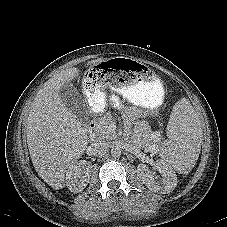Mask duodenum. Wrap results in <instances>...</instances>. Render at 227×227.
<instances>
[{"label":"duodenum","instance_id":"410a0bca","mask_svg":"<svg viewBox=\"0 0 227 227\" xmlns=\"http://www.w3.org/2000/svg\"><path fill=\"white\" fill-rule=\"evenodd\" d=\"M96 126L97 122L95 119H92L87 126V135L90 139H94L95 134H96Z\"/></svg>","mask_w":227,"mask_h":227}]
</instances>
